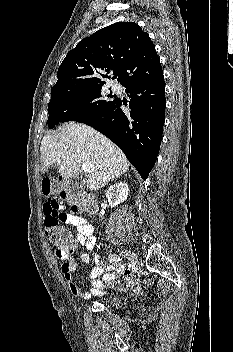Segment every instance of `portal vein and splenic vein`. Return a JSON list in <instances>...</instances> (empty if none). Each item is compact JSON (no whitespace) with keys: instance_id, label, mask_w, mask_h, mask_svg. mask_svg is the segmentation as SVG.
<instances>
[{"instance_id":"obj_1","label":"portal vein and splenic vein","mask_w":233,"mask_h":352,"mask_svg":"<svg viewBox=\"0 0 233 352\" xmlns=\"http://www.w3.org/2000/svg\"><path fill=\"white\" fill-rule=\"evenodd\" d=\"M60 161V160H59ZM82 170L85 172V173H90L92 170H93V167L91 164L89 163H83L82 164Z\"/></svg>"}]
</instances>
